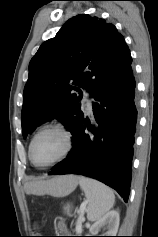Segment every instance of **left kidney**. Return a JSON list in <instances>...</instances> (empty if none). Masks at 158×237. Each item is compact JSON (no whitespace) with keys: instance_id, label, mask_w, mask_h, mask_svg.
Listing matches in <instances>:
<instances>
[{"instance_id":"left-kidney-1","label":"left kidney","mask_w":158,"mask_h":237,"mask_svg":"<svg viewBox=\"0 0 158 237\" xmlns=\"http://www.w3.org/2000/svg\"><path fill=\"white\" fill-rule=\"evenodd\" d=\"M120 217L119 212L112 210L105 214L101 219L96 221L90 227V233L92 236H98L101 229L106 230L104 234L100 236H116L119 227Z\"/></svg>"}]
</instances>
